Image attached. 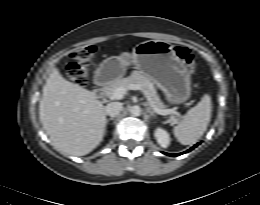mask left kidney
Masks as SVG:
<instances>
[{"instance_id":"left-kidney-1","label":"left kidney","mask_w":260,"mask_h":205,"mask_svg":"<svg viewBox=\"0 0 260 205\" xmlns=\"http://www.w3.org/2000/svg\"><path fill=\"white\" fill-rule=\"evenodd\" d=\"M154 136L161 147L167 148L169 146L170 137L167 131L162 128H157L155 130Z\"/></svg>"}]
</instances>
